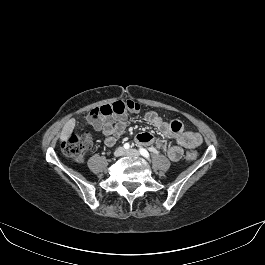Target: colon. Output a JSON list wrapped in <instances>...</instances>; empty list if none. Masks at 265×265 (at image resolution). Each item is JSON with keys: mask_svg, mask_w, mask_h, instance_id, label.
Segmentation results:
<instances>
[{"mask_svg": "<svg viewBox=\"0 0 265 265\" xmlns=\"http://www.w3.org/2000/svg\"><path fill=\"white\" fill-rule=\"evenodd\" d=\"M142 110V106L132 100H118L116 102L96 107L88 115V121L93 126H99L106 120L113 117H122L130 113H137ZM92 146V138L88 133L71 134L62 143V151L69 158L76 162H82L86 153ZM198 157L196 150H189L186 153L188 161H194Z\"/></svg>", "mask_w": 265, "mask_h": 265, "instance_id": "1", "label": "colon"}]
</instances>
